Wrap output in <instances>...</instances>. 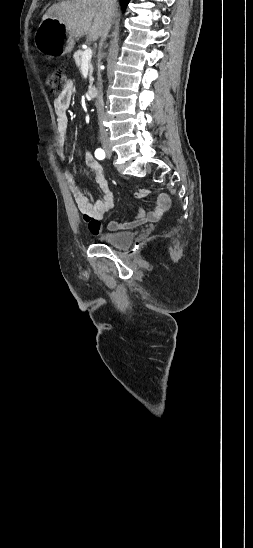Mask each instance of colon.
<instances>
[{
    "label": "colon",
    "instance_id": "colon-1",
    "mask_svg": "<svg viewBox=\"0 0 253 548\" xmlns=\"http://www.w3.org/2000/svg\"><path fill=\"white\" fill-rule=\"evenodd\" d=\"M47 82L52 93L61 94L67 85V77L62 69L54 68L49 73Z\"/></svg>",
    "mask_w": 253,
    "mask_h": 548
}]
</instances>
